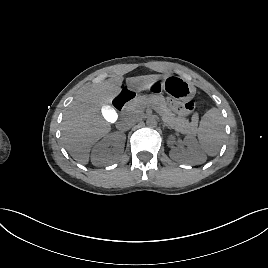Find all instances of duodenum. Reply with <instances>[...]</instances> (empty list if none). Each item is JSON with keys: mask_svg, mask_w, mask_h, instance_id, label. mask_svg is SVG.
I'll use <instances>...</instances> for the list:
<instances>
[{"mask_svg": "<svg viewBox=\"0 0 268 268\" xmlns=\"http://www.w3.org/2000/svg\"><path fill=\"white\" fill-rule=\"evenodd\" d=\"M134 98V93L130 90L121 91L114 99V107L118 110H122L124 106Z\"/></svg>", "mask_w": 268, "mask_h": 268, "instance_id": "obj_1", "label": "duodenum"}]
</instances>
